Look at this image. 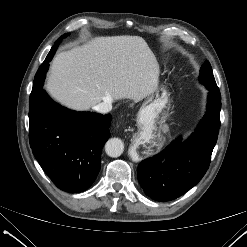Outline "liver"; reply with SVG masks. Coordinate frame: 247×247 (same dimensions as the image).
<instances>
[{"mask_svg":"<svg viewBox=\"0 0 247 247\" xmlns=\"http://www.w3.org/2000/svg\"><path fill=\"white\" fill-rule=\"evenodd\" d=\"M159 74L142 37H95L55 56L46 90L60 104L86 111L107 99L143 100L157 90Z\"/></svg>","mask_w":247,"mask_h":247,"instance_id":"liver-1","label":"liver"}]
</instances>
